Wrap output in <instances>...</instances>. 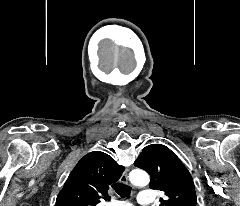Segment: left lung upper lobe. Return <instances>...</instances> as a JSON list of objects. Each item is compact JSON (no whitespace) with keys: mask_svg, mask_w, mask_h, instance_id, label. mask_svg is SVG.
Returning <instances> with one entry per match:
<instances>
[{"mask_svg":"<svg viewBox=\"0 0 240 206\" xmlns=\"http://www.w3.org/2000/svg\"><path fill=\"white\" fill-rule=\"evenodd\" d=\"M134 165L151 176L150 188L163 191L160 206H196L193 179L181 160L161 144L146 146Z\"/></svg>","mask_w":240,"mask_h":206,"instance_id":"left-lung-upper-lobe-1","label":"left lung upper lobe"}]
</instances>
